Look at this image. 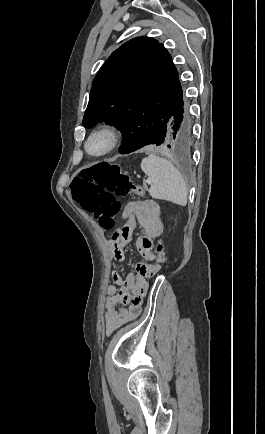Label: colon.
Segmentation results:
<instances>
[{"label": "colon", "instance_id": "5ec220e1", "mask_svg": "<svg viewBox=\"0 0 265 434\" xmlns=\"http://www.w3.org/2000/svg\"><path fill=\"white\" fill-rule=\"evenodd\" d=\"M82 170L74 174V193L69 194V201L79 202L84 210L94 214L101 228L110 230L121 208L115 195L142 194L143 189L115 164H85ZM166 259L164 244L160 241L154 261H161L163 265ZM149 279L140 278L144 283Z\"/></svg>", "mask_w": 265, "mask_h": 434}]
</instances>
